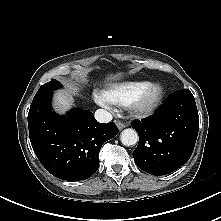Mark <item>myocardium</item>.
<instances>
[{
    "label": "myocardium",
    "mask_w": 221,
    "mask_h": 221,
    "mask_svg": "<svg viewBox=\"0 0 221 221\" xmlns=\"http://www.w3.org/2000/svg\"><path fill=\"white\" fill-rule=\"evenodd\" d=\"M163 93L162 85L148 84L128 105L130 114L138 118L149 116L161 102Z\"/></svg>",
    "instance_id": "f54148a6"
}]
</instances>
